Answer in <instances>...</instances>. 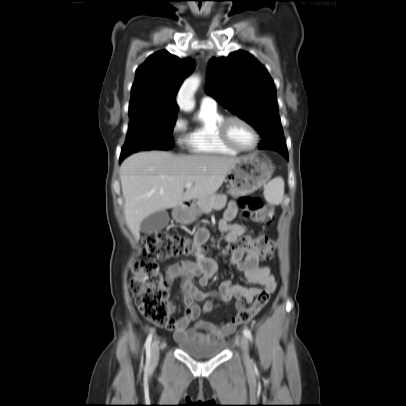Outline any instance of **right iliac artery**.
Segmentation results:
<instances>
[{
    "instance_id": "right-iliac-artery-1",
    "label": "right iliac artery",
    "mask_w": 406,
    "mask_h": 406,
    "mask_svg": "<svg viewBox=\"0 0 406 406\" xmlns=\"http://www.w3.org/2000/svg\"><path fill=\"white\" fill-rule=\"evenodd\" d=\"M152 338H153V332H151L145 342V349H146V359H147V363L150 362V358H151V342H152Z\"/></svg>"
}]
</instances>
